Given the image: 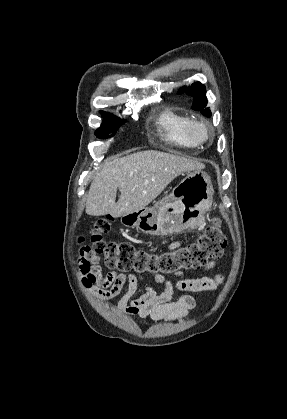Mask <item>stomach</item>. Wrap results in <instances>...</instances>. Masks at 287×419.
<instances>
[{
  "instance_id": "0dacf381",
  "label": "stomach",
  "mask_w": 287,
  "mask_h": 419,
  "mask_svg": "<svg viewBox=\"0 0 287 419\" xmlns=\"http://www.w3.org/2000/svg\"><path fill=\"white\" fill-rule=\"evenodd\" d=\"M213 194L210 176L195 170L189 172L170 194L160 198L152 207L124 214L120 221L125 226L152 236L181 233L203 218L212 205Z\"/></svg>"
}]
</instances>
